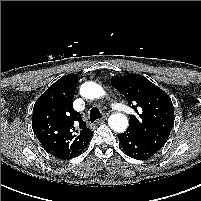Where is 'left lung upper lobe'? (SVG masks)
Returning <instances> with one entry per match:
<instances>
[{
	"label": "left lung upper lobe",
	"mask_w": 201,
	"mask_h": 201,
	"mask_svg": "<svg viewBox=\"0 0 201 201\" xmlns=\"http://www.w3.org/2000/svg\"><path fill=\"white\" fill-rule=\"evenodd\" d=\"M111 84L127 98L137 112L130 115L128 129L137 133L157 149H161L174 124L171 98L146 77L139 74L114 76Z\"/></svg>",
	"instance_id": "1"
}]
</instances>
